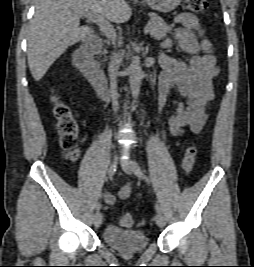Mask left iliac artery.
Returning <instances> with one entry per match:
<instances>
[{
  "label": "left iliac artery",
  "mask_w": 254,
  "mask_h": 267,
  "mask_svg": "<svg viewBox=\"0 0 254 267\" xmlns=\"http://www.w3.org/2000/svg\"><path fill=\"white\" fill-rule=\"evenodd\" d=\"M134 173L136 174L137 177L144 179L145 181L149 182V179L146 177L144 172L142 171L141 167L138 165L137 162H134ZM155 208L157 212H162L161 206L156 203Z\"/></svg>",
  "instance_id": "left-iliac-artery-1"
}]
</instances>
